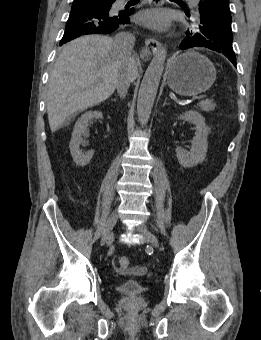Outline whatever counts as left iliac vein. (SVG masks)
I'll return each instance as SVG.
<instances>
[{
	"mask_svg": "<svg viewBox=\"0 0 261 340\" xmlns=\"http://www.w3.org/2000/svg\"><path fill=\"white\" fill-rule=\"evenodd\" d=\"M136 230L137 232L142 234L146 239H148V241L154 248L156 249L159 248V241L157 237L147 228L146 225L140 224L139 226H137Z\"/></svg>",
	"mask_w": 261,
	"mask_h": 340,
	"instance_id": "left-iliac-vein-1",
	"label": "left iliac vein"
}]
</instances>
